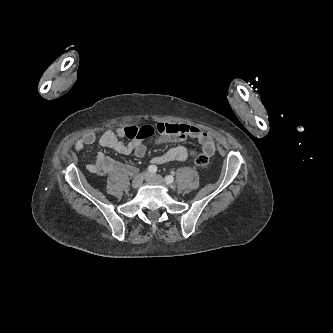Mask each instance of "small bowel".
I'll list each match as a JSON object with an SVG mask.
<instances>
[{"mask_svg":"<svg viewBox=\"0 0 333 333\" xmlns=\"http://www.w3.org/2000/svg\"><path fill=\"white\" fill-rule=\"evenodd\" d=\"M156 135L158 141L176 142L187 138H194L202 146V153L211 157L215 153V143L210 134L195 125L183 123H164L158 122L154 126H129L116 131H106L98 139L102 147L112 149L120 154H133L137 157H143L146 154V146L142 139ZM130 138L128 142H123L122 138ZM94 133H87L76 141L75 150L82 151L87 146L96 142ZM189 154L196 155L195 151L189 152L184 146L178 145L170 148L161 155L152 159L154 164H165L172 161H183ZM117 167V163L109 160L100 152L97 154L95 162L91 165V171L99 174L102 171L109 172ZM126 172H131L129 166H121Z\"/></svg>","mask_w":333,"mask_h":333,"instance_id":"c3829d8e","label":"small bowel"}]
</instances>
